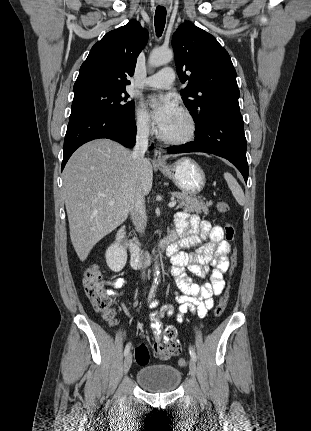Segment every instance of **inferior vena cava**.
<instances>
[{"label":"inferior vena cava","instance_id":"1","mask_svg":"<svg viewBox=\"0 0 311 431\" xmlns=\"http://www.w3.org/2000/svg\"><path fill=\"white\" fill-rule=\"evenodd\" d=\"M148 136L149 126L148 122H139L137 124L135 146L132 152V158H134L137 164V174L139 176L141 172V164H143L145 152L148 150ZM134 204L130 210V217L140 233H144L146 227V206L145 198L141 190V182L138 180L136 186V192L133 196ZM142 277H145V271H142Z\"/></svg>","mask_w":311,"mask_h":431}]
</instances>
